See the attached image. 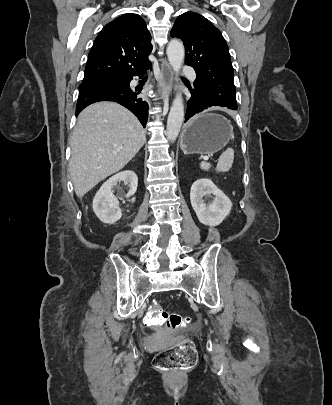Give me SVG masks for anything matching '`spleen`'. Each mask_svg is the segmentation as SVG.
Returning <instances> with one entry per match:
<instances>
[{"label":"spleen","mask_w":332,"mask_h":405,"mask_svg":"<svg viewBox=\"0 0 332 405\" xmlns=\"http://www.w3.org/2000/svg\"><path fill=\"white\" fill-rule=\"evenodd\" d=\"M234 161V150L232 148H227L220 156L216 171L217 172H227L232 167ZM200 167L202 170L208 171L211 167L208 162H201Z\"/></svg>","instance_id":"1"}]
</instances>
